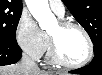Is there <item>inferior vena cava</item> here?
Segmentation results:
<instances>
[{
	"instance_id": "1",
	"label": "inferior vena cava",
	"mask_w": 102,
	"mask_h": 75,
	"mask_svg": "<svg viewBox=\"0 0 102 75\" xmlns=\"http://www.w3.org/2000/svg\"><path fill=\"white\" fill-rule=\"evenodd\" d=\"M21 65L25 66L26 68L31 69V70L39 69L36 62L33 61L32 59H30L26 54H23V56L21 58Z\"/></svg>"
}]
</instances>
